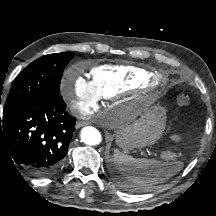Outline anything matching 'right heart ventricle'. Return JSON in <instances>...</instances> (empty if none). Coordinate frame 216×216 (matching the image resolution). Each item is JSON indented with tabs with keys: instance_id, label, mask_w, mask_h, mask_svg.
<instances>
[{
	"instance_id": "1",
	"label": "right heart ventricle",
	"mask_w": 216,
	"mask_h": 216,
	"mask_svg": "<svg viewBox=\"0 0 216 216\" xmlns=\"http://www.w3.org/2000/svg\"><path fill=\"white\" fill-rule=\"evenodd\" d=\"M91 83L99 97L109 98L149 83L153 75L136 66L104 64L90 71Z\"/></svg>"
}]
</instances>
